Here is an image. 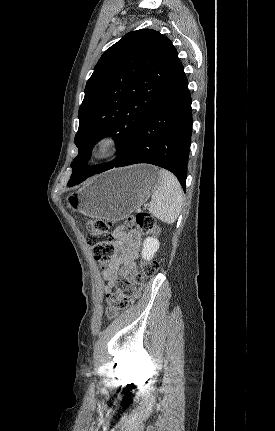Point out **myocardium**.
<instances>
[{"mask_svg":"<svg viewBox=\"0 0 275 431\" xmlns=\"http://www.w3.org/2000/svg\"><path fill=\"white\" fill-rule=\"evenodd\" d=\"M119 151V137L114 133L105 132L98 135L92 141L89 149V156L93 161L103 162L116 157Z\"/></svg>","mask_w":275,"mask_h":431,"instance_id":"obj_1","label":"myocardium"}]
</instances>
